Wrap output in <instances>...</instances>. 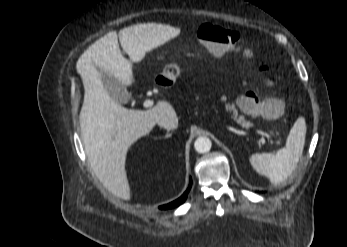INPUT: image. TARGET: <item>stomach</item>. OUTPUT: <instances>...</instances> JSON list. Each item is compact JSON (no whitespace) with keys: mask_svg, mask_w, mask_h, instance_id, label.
Returning a JSON list of instances; mask_svg holds the SVG:
<instances>
[{"mask_svg":"<svg viewBox=\"0 0 347 247\" xmlns=\"http://www.w3.org/2000/svg\"><path fill=\"white\" fill-rule=\"evenodd\" d=\"M178 74H179V68L171 64V65L165 66L160 76L163 77L164 80H167L171 82V84H173Z\"/></svg>","mask_w":347,"mask_h":247,"instance_id":"1","label":"stomach"}]
</instances>
